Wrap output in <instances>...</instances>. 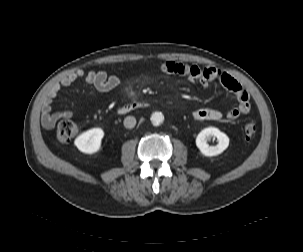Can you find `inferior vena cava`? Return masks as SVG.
Returning a JSON list of instances; mask_svg holds the SVG:
<instances>
[{
    "label": "inferior vena cava",
    "mask_w": 303,
    "mask_h": 252,
    "mask_svg": "<svg viewBox=\"0 0 303 252\" xmlns=\"http://www.w3.org/2000/svg\"><path fill=\"white\" fill-rule=\"evenodd\" d=\"M136 125V119L135 117L133 116H127L125 119H124V126L126 128H133L134 126Z\"/></svg>",
    "instance_id": "602c4592"
}]
</instances>
